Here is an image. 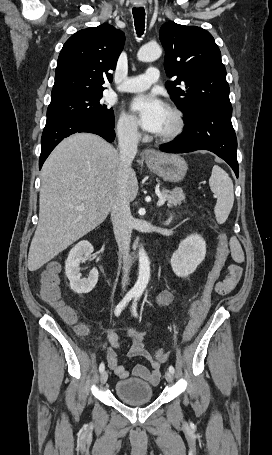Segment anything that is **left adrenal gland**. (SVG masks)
<instances>
[{"instance_id": "left-adrenal-gland-1", "label": "left adrenal gland", "mask_w": 272, "mask_h": 455, "mask_svg": "<svg viewBox=\"0 0 272 455\" xmlns=\"http://www.w3.org/2000/svg\"><path fill=\"white\" fill-rule=\"evenodd\" d=\"M171 221V217L168 219V221L166 223H164L165 225H168Z\"/></svg>"}]
</instances>
